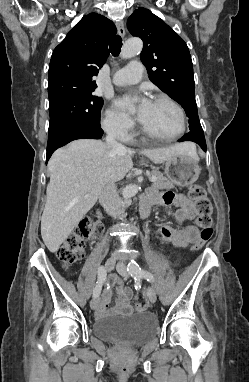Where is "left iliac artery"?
Instances as JSON below:
<instances>
[{"label": "left iliac artery", "mask_w": 249, "mask_h": 382, "mask_svg": "<svg viewBox=\"0 0 249 382\" xmlns=\"http://www.w3.org/2000/svg\"><path fill=\"white\" fill-rule=\"evenodd\" d=\"M127 271L135 279V281L145 278L150 283L154 282V276L150 272L142 269L134 260H131L128 263Z\"/></svg>", "instance_id": "obj_1"}]
</instances>
